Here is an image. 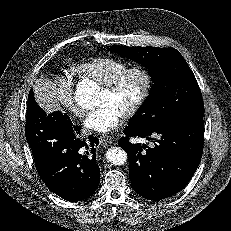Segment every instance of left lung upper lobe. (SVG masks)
<instances>
[{
  "label": "left lung upper lobe",
  "mask_w": 231,
  "mask_h": 231,
  "mask_svg": "<svg viewBox=\"0 0 231 231\" xmlns=\"http://www.w3.org/2000/svg\"><path fill=\"white\" fill-rule=\"evenodd\" d=\"M112 51L144 65L154 85L150 95L129 121L132 129L169 127L203 118L202 94L187 62L174 48L114 45Z\"/></svg>",
  "instance_id": "5c2ea615"
}]
</instances>
